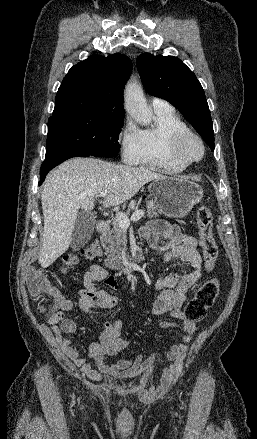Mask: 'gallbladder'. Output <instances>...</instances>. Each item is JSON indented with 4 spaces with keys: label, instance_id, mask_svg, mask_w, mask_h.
Instances as JSON below:
<instances>
[{
    "label": "gallbladder",
    "instance_id": "gallbladder-1",
    "mask_svg": "<svg viewBox=\"0 0 257 439\" xmlns=\"http://www.w3.org/2000/svg\"><path fill=\"white\" fill-rule=\"evenodd\" d=\"M95 221L93 214L79 213L72 233L71 247L73 250H79L88 242L93 233Z\"/></svg>",
    "mask_w": 257,
    "mask_h": 439
}]
</instances>
